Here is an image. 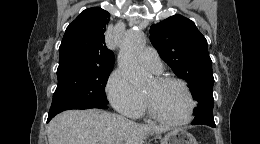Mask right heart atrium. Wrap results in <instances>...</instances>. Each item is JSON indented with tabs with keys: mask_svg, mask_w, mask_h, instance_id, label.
Listing matches in <instances>:
<instances>
[{
	"mask_svg": "<svg viewBox=\"0 0 260 144\" xmlns=\"http://www.w3.org/2000/svg\"><path fill=\"white\" fill-rule=\"evenodd\" d=\"M105 91L110 104L119 113L127 116H137L141 113L142 95L120 69L114 70L109 75Z\"/></svg>",
	"mask_w": 260,
	"mask_h": 144,
	"instance_id": "obj_1",
	"label": "right heart atrium"
}]
</instances>
